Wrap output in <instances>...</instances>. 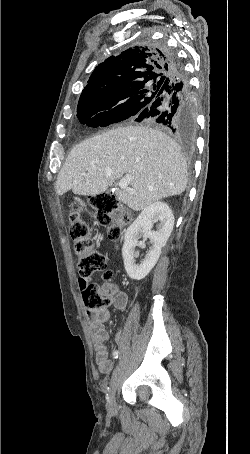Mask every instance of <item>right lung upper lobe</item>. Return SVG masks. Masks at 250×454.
I'll use <instances>...</instances> for the list:
<instances>
[{
	"mask_svg": "<svg viewBox=\"0 0 250 454\" xmlns=\"http://www.w3.org/2000/svg\"><path fill=\"white\" fill-rule=\"evenodd\" d=\"M171 63L162 47L134 46L100 63L81 93L79 104L115 99L150 82L162 85Z\"/></svg>",
	"mask_w": 250,
	"mask_h": 454,
	"instance_id": "right-lung-upper-lobe-1",
	"label": "right lung upper lobe"
}]
</instances>
